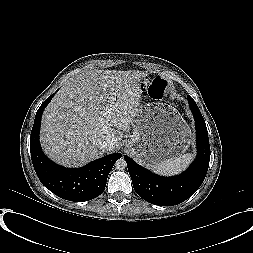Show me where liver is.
Returning <instances> with one entry per match:
<instances>
[{"mask_svg": "<svg viewBox=\"0 0 253 253\" xmlns=\"http://www.w3.org/2000/svg\"><path fill=\"white\" fill-rule=\"evenodd\" d=\"M137 70H84L70 78L45 108L40 140L45 154L80 167L117 150L138 112L141 80ZM106 138L114 141L104 148Z\"/></svg>", "mask_w": 253, "mask_h": 253, "instance_id": "6515ba94", "label": "liver"}]
</instances>
